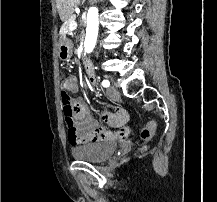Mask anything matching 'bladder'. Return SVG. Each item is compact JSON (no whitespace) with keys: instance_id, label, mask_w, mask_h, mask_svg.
I'll return each instance as SVG.
<instances>
[{"instance_id":"1","label":"bladder","mask_w":217,"mask_h":202,"mask_svg":"<svg viewBox=\"0 0 217 202\" xmlns=\"http://www.w3.org/2000/svg\"><path fill=\"white\" fill-rule=\"evenodd\" d=\"M117 148V143L102 141L98 143L84 144L82 148L73 149L72 155L89 163H103Z\"/></svg>"}]
</instances>
